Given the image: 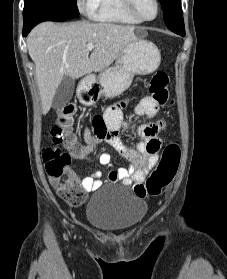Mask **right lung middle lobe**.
Masks as SVG:
<instances>
[{
  "instance_id": "obj_1",
  "label": "right lung middle lobe",
  "mask_w": 227,
  "mask_h": 279,
  "mask_svg": "<svg viewBox=\"0 0 227 279\" xmlns=\"http://www.w3.org/2000/svg\"><path fill=\"white\" fill-rule=\"evenodd\" d=\"M39 8H47L71 18L79 15L76 0H24L23 18Z\"/></svg>"
}]
</instances>
